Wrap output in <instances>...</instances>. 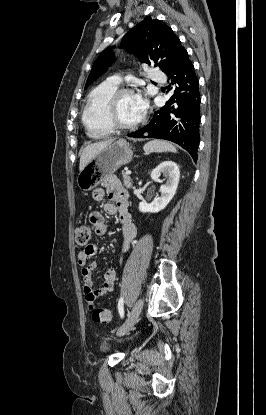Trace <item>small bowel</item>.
Masks as SVG:
<instances>
[{
	"label": "small bowel",
	"mask_w": 266,
	"mask_h": 415,
	"mask_svg": "<svg viewBox=\"0 0 266 415\" xmlns=\"http://www.w3.org/2000/svg\"><path fill=\"white\" fill-rule=\"evenodd\" d=\"M108 196L110 202L104 205V211L110 216H117L122 224L123 246L121 254L124 256L129 249L131 242L137 234L135 224L132 222L128 212V194L116 176H109L104 181L103 188H97L93 191L92 197L96 201H102ZM89 221L93 231L97 235H104L107 232V226L104 215L99 211H92L89 215ZM98 252L95 244H88L77 254V264L82 268L81 275L84 284V294L87 303L92 307L93 303L114 290L118 273L115 269H109L104 274V283L100 288H94L92 274L95 271L96 262L88 263V259L94 257Z\"/></svg>",
	"instance_id": "obj_1"
}]
</instances>
